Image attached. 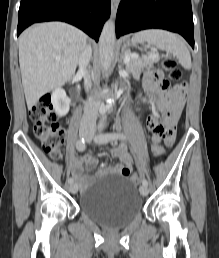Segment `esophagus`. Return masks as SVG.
I'll return each instance as SVG.
<instances>
[{
	"label": "esophagus",
	"mask_w": 219,
	"mask_h": 258,
	"mask_svg": "<svg viewBox=\"0 0 219 258\" xmlns=\"http://www.w3.org/2000/svg\"><path fill=\"white\" fill-rule=\"evenodd\" d=\"M117 7H118L117 2L115 0H112V2H111V15H112V17H114L116 15Z\"/></svg>",
	"instance_id": "1"
}]
</instances>
